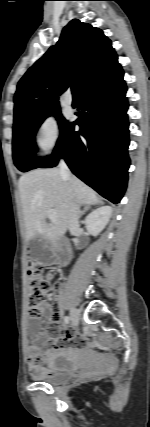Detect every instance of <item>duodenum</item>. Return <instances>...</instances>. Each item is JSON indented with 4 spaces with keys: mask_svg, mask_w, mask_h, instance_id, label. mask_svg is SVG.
<instances>
[{
    "mask_svg": "<svg viewBox=\"0 0 150 427\" xmlns=\"http://www.w3.org/2000/svg\"><path fill=\"white\" fill-rule=\"evenodd\" d=\"M68 252L67 250L64 248V246L59 250L56 262L57 264L61 265V266H65L68 263Z\"/></svg>",
    "mask_w": 150,
    "mask_h": 427,
    "instance_id": "duodenum-1",
    "label": "duodenum"
}]
</instances>
